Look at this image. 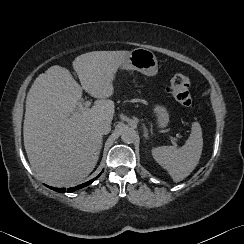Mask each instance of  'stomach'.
Wrapping results in <instances>:
<instances>
[{
	"label": "stomach",
	"mask_w": 244,
	"mask_h": 244,
	"mask_svg": "<svg viewBox=\"0 0 244 244\" xmlns=\"http://www.w3.org/2000/svg\"><path fill=\"white\" fill-rule=\"evenodd\" d=\"M126 70H136L147 76H154L158 71V61L155 54L146 48H136L121 65ZM152 117L157 128L164 129L169 123V113L163 105L156 104L152 108Z\"/></svg>",
	"instance_id": "stomach-1"
}]
</instances>
